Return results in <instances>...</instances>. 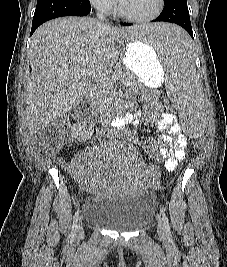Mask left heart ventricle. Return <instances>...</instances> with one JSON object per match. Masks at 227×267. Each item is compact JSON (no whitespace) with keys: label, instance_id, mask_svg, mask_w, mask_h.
Instances as JSON below:
<instances>
[{"label":"left heart ventricle","instance_id":"b2bd125f","mask_svg":"<svg viewBox=\"0 0 227 267\" xmlns=\"http://www.w3.org/2000/svg\"><path fill=\"white\" fill-rule=\"evenodd\" d=\"M120 4L130 15L147 16L155 10L157 0H122Z\"/></svg>","mask_w":227,"mask_h":267}]
</instances>
